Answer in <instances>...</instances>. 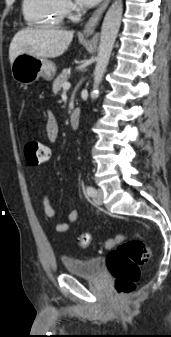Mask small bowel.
I'll return each instance as SVG.
<instances>
[{"mask_svg": "<svg viewBox=\"0 0 171 337\" xmlns=\"http://www.w3.org/2000/svg\"><path fill=\"white\" fill-rule=\"evenodd\" d=\"M45 134L47 139L51 142H55L59 136L58 122L52 112H48L46 115ZM42 203L46 217L53 219L56 215V212L50 203V199L47 192H44L43 194ZM78 215H79L78 210L72 209L67 216L66 222H60L56 224V230L60 233L67 232L71 224H73L77 220Z\"/></svg>", "mask_w": 171, "mask_h": 337, "instance_id": "small-bowel-1", "label": "small bowel"}]
</instances>
